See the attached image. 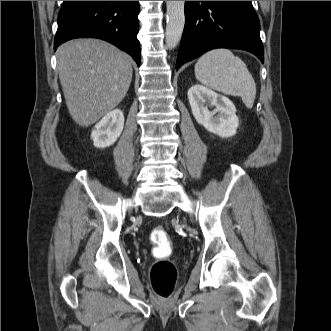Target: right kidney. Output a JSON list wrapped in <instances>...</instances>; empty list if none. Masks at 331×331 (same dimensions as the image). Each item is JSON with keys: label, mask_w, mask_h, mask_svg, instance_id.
<instances>
[{"label": "right kidney", "mask_w": 331, "mask_h": 331, "mask_svg": "<svg viewBox=\"0 0 331 331\" xmlns=\"http://www.w3.org/2000/svg\"><path fill=\"white\" fill-rule=\"evenodd\" d=\"M123 127V112L119 109L110 111L95 125L91 133L94 146L106 148L113 145L121 135Z\"/></svg>", "instance_id": "obj_1"}]
</instances>
